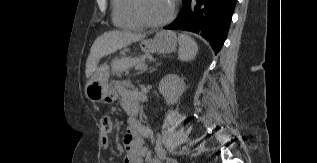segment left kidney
<instances>
[{"instance_id":"5707ae66","label":"left kidney","mask_w":317,"mask_h":163,"mask_svg":"<svg viewBox=\"0 0 317 163\" xmlns=\"http://www.w3.org/2000/svg\"><path fill=\"white\" fill-rule=\"evenodd\" d=\"M159 91L169 106L174 105L184 93L185 83L177 75L168 74L160 81Z\"/></svg>"}]
</instances>
